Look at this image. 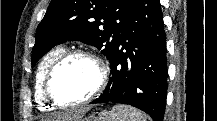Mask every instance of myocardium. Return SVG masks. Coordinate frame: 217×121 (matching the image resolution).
Masks as SVG:
<instances>
[{
    "label": "myocardium",
    "mask_w": 217,
    "mask_h": 121,
    "mask_svg": "<svg viewBox=\"0 0 217 121\" xmlns=\"http://www.w3.org/2000/svg\"><path fill=\"white\" fill-rule=\"evenodd\" d=\"M77 57L88 58L92 62L95 63V65L98 68V73H99L98 81L93 91L86 98L78 102L64 103L58 100L53 94L52 81L57 71L63 65H65L69 60L73 58H77ZM107 79H108V70H107L106 64L99 56L87 50H82V49L72 50L69 52H65L63 55H61L48 70V73L45 78V83H44V94L48 102L54 107L70 108V107H75V106H81V105L90 103L103 91V89L105 88Z\"/></svg>",
    "instance_id": "myocardium-1"
}]
</instances>
